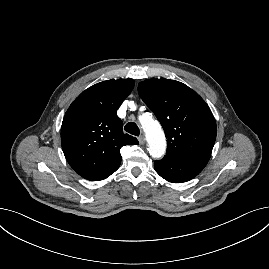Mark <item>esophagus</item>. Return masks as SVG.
Segmentation results:
<instances>
[{
  "label": "esophagus",
  "mask_w": 269,
  "mask_h": 269,
  "mask_svg": "<svg viewBox=\"0 0 269 269\" xmlns=\"http://www.w3.org/2000/svg\"><path fill=\"white\" fill-rule=\"evenodd\" d=\"M138 140H139V143L141 145L145 144V137H144V135L139 136Z\"/></svg>",
  "instance_id": "34e87169"
}]
</instances>
